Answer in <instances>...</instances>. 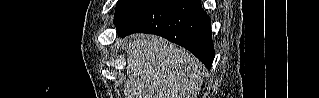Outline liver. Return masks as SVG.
Here are the masks:
<instances>
[{
  "mask_svg": "<svg viewBox=\"0 0 319 98\" xmlns=\"http://www.w3.org/2000/svg\"><path fill=\"white\" fill-rule=\"evenodd\" d=\"M125 43V98H197L204 67L190 52L157 36L134 35Z\"/></svg>",
  "mask_w": 319,
  "mask_h": 98,
  "instance_id": "6515ba94",
  "label": "liver"
}]
</instances>
